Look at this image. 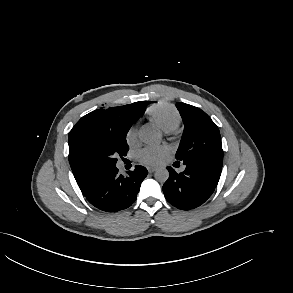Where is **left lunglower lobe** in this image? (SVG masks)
Masks as SVG:
<instances>
[{"instance_id": "left-lung-lower-lobe-1", "label": "left lung lower lobe", "mask_w": 293, "mask_h": 293, "mask_svg": "<svg viewBox=\"0 0 293 293\" xmlns=\"http://www.w3.org/2000/svg\"><path fill=\"white\" fill-rule=\"evenodd\" d=\"M183 164L186 168L181 173L167 167L169 178L163 185V192L173 206L189 210L202 205L212 195L221 175L222 164L205 159L185 160Z\"/></svg>"}]
</instances>
